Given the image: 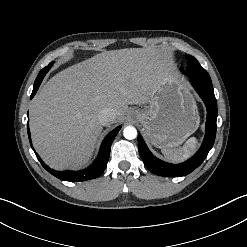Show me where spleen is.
<instances>
[{
    "instance_id": "spleen-1",
    "label": "spleen",
    "mask_w": 247,
    "mask_h": 247,
    "mask_svg": "<svg viewBox=\"0 0 247 247\" xmlns=\"http://www.w3.org/2000/svg\"><path fill=\"white\" fill-rule=\"evenodd\" d=\"M197 139L195 137L189 138L182 147L179 148H163L162 153L164 157L172 162H181L189 158L196 150Z\"/></svg>"
}]
</instances>
